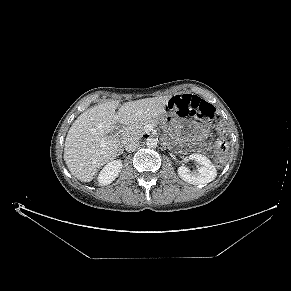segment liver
Masks as SVG:
<instances>
[{
    "mask_svg": "<svg viewBox=\"0 0 291 291\" xmlns=\"http://www.w3.org/2000/svg\"><path fill=\"white\" fill-rule=\"evenodd\" d=\"M170 96H159L122 104L113 100L84 111L70 127L64 147V160L78 180L90 182L104 164L119 151V141L108 135L116 123L133 125L154 120L164 113ZM118 108V112L116 109Z\"/></svg>",
    "mask_w": 291,
    "mask_h": 291,
    "instance_id": "liver-1",
    "label": "liver"
}]
</instances>
